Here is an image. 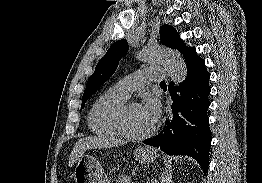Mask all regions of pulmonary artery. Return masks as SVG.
<instances>
[{
  "instance_id": "obj_1",
  "label": "pulmonary artery",
  "mask_w": 262,
  "mask_h": 183,
  "mask_svg": "<svg viewBox=\"0 0 262 183\" xmlns=\"http://www.w3.org/2000/svg\"><path fill=\"white\" fill-rule=\"evenodd\" d=\"M164 71L155 68H146L134 72L120 81H118L112 87L116 92L122 94L125 97H129L132 92L143 88L149 81L161 82L164 80Z\"/></svg>"
}]
</instances>
